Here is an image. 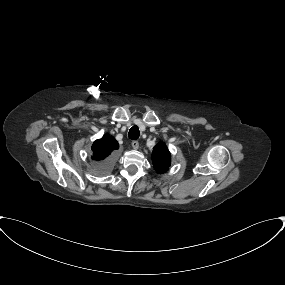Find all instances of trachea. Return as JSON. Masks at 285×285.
I'll return each mask as SVG.
<instances>
[{
    "label": "trachea",
    "instance_id": "1",
    "mask_svg": "<svg viewBox=\"0 0 285 285\" xmlns=\"http://www.w3.org/2000/svg\"><path fill=\"white\" fill-rule=\"evenodd\" d=\"M140 132H139V128L137 126H133L128 133V136L130 139L132 140H136L139 138Z\"/></svg>",
    "mask_w": 285,
    "mask_h": 285
}]
</instances>
